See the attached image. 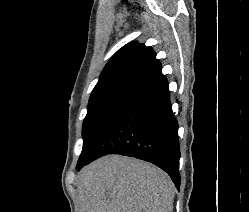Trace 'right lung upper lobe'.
Wrapping results in <instances>:
<instances>
[{
  "label": "right lung upper lobe",
  "mask_w": 249,
  "mask_h": 212,
  "mask_svg": "<svg viewBox=\"0 0 249 212\" xmlns=\"http://www.w3.org/2000/svg\"><path fill=\"white\" fill-rule=\"evenodd\" d=\"M165 82L167 79L161 72V63L153 49L131 42L117 51L106 64L90 99L115 92L140 96Z\"/></svg>",
  "instance_id": "obj_1"
}]
</instances>
